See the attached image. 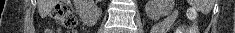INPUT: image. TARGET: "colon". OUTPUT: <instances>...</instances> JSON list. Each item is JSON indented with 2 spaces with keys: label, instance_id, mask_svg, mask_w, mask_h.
<instances>
[{
  "label": "colon",
  "instance_id": "1",
  "mask_svg": "<svg viewBox=\"0 0 235 33\" xmlns=\"http://www.w3.org/2000/svg\"><path fill=\"white\" fill-rule=\"evenodd\" d=\"M190 19L194 20L197 16L195 10L190 9L189 12ZM52 17L53 19L62 27L69 30V33L71 30L74 29L76 26V18L73 12V8L71 6L70 1L68 0H60L54 7L52 11ZM189 33H197V27L196 25H191L188 28Z\"/></svg>",
  "mask_w": 235,
  "mask_h": 33
}]
</instances>
